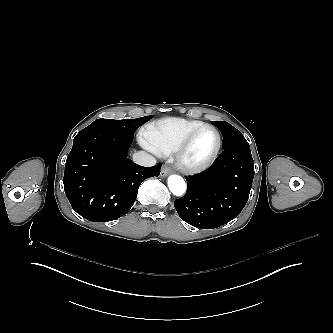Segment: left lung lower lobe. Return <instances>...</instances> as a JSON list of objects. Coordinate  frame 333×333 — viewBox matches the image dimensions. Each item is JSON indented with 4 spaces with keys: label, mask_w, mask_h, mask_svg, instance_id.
<instances>
[{
    "label": "left lung lower lobe",
    "mask_w": 333,
    "mask_h": 333,
    "mask_svg": "<svg viewBox=\"0 0 333 333\" xmlns=\"http://www.w3.org/2000/svg\"><path fill=\"white\" fill-rule=\"evenodd\" d=\"M254 162L247 141L218 156L210 168L187 180L186 194L174 202L179 217L197 228L212 229L236 218L252 187Z\"/></svg>",
    "instance_id": "left-lung-lower-lobe-1"
}]
</instances>
